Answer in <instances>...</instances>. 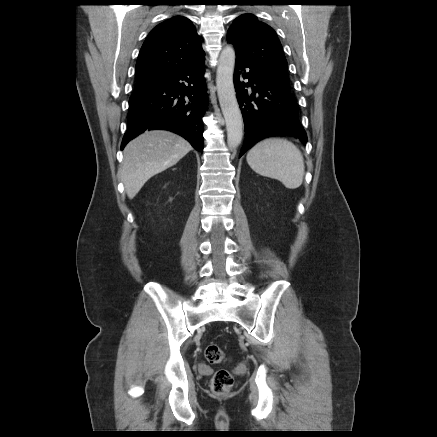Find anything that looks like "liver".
Instances as JSON below:
<instances>
[{"instance_id": "liver-1", "label": "liver", "mask_w": 437, "mask_h": 437, "mask_svg": "<svg viewBox=\"0 0 437 437\" xmlns=\"http://www.w3.org/2000/svg\"><path fill=\"white\" fill-rule=\"evenodd\" d=\"M191 149L187 140L166 130L145 131L130 141L120 169L128 198L133 199L151 177L175 165Z\"/></svg>"}]
</instances>
